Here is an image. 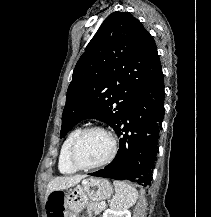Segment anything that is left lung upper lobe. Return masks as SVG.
Wrapping results in <instances>:
<instances>
[{"instance_id": "5c2ea615", "label": "left lung upper lobe", "mask_w": 211, "mask_h": 217, "mask_svg": "<svg viewBox=\"0 0 211 217\" xmlns=\"http://www.w3.org/2000/svg\"><path fill=\"white\" fill-rule=\"evenodd\" d=\"M161 69L155 41L141 22L128 12L111 13L74 68L60 137L87 118L115 129L135 95Z\"/></svg>"}]
</instances>
